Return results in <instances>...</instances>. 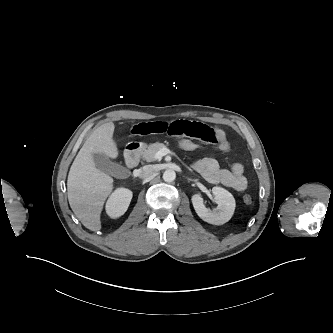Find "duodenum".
Listing matches in <instances>:
<instances>
[{
  "mask_svg": "<svg viewBox=\"0 0 333 333\" xmlns=\"http://www.w3.org/2000/svg\"><path fill=\"white\" fill-rule=\"evenodd\" d=\"M140 145L132 143L125 150V164L128 168H134L138 164Z\"/></svg>",
  "mask_w": 333,
  "mask_h": 333,
  "instance_id": "obj_1",
  "label": "duodenum"
}]
</instances>
